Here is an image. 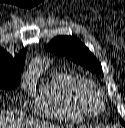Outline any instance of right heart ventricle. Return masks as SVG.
Masks as SVG:
<instances>
[{
    "label": "right heart ventricle",
    "mask_w": 125,
    "mask_h": 128,
    "mask_svg": "<svg viewBox=\"0 0 125 128\" xmlns=\"http://www.w3.org/2000/svg\"><path fill=\"white\" fill-rule=\"evenodd\" d=\"M83 80L74 73L54 70L34 100V110L44 116L80 122L89 115L79 97Z\"/></svg>",
    "instance_id": "e07e8e85"
}]
</instances>
